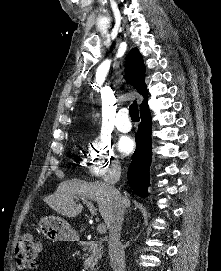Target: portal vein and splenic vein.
Wrapping results in <instances>:
<instances>
[{
  "instance_id": "18ae733b",
  "label": "portal vein and splenic vein",
  "mask_w": 221,
  "mask_h": 271,
  "mask_svg": "<svg viewBox=\"0 0 221 271\" xmlns=\"http://www.w3.org/2000/svg\"><path fill=\"white\" fill-rule=\"evenodd\" d=\"M98 234H105V225H97Z\"/></svg>"
}]
</instances>
